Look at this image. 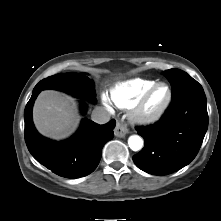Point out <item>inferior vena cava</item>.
Listing matches in <instances>:
<instances>
[{
	"label": "inferior vena cava",
	"mask_w": 221,
	"mask_h": 221,
	"mask_svg": "<svg viewBox=\"0 0 221 221\" xmlns=\"http://www.w3.org/2000/svg\"><path fill=\"white\" fill-rule=\"evenodd\" d=\"M91 119L98 124H105L110 120V114L101 107H97L92 111Z\"/></svg>",
	"instance_id": "inferior-vena-cava-1"
}]
</instances>
